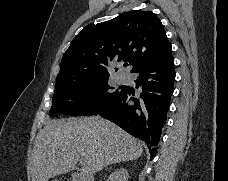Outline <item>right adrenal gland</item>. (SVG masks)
Returning <instances> with one entry per match:
<instances>
[{
    "label": "right adrenal gland",
    "mask_w": 228,
    "mask_h": 181,
    "mask_svg": "<svg viewBox=\"0 0 228 181\" xmlns=\"http://www.w3.org/2000/svg\"><path fill=\"white\" fill-rule=\"evenodd\" d=\"M118 165H121V163H118ZM113 167H115V165H113ZM110 169H112V167H110Z\"/></svg>",
    "instance_id": "2a0ac1e0"
}]
</instances>
